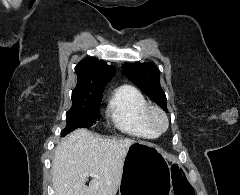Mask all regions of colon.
I'll return each instance as SVG.
<instances>
[{
  "instance_id": "5ec220e1",
  "label": "colon",
  "mask_w": 240,
  "mask_h": 195,
  "mask_svg": "<svg viewBox=\"0 0 240 195\" xmlns=\"http://www.w3.org/2000/svg\"><path fill=\"white\" fill-rule=\"evenodd\" d=\"M183 184L184 186H176V195H193L192 186L186 178H184Z\"/></svg>"
}]
</instances>
